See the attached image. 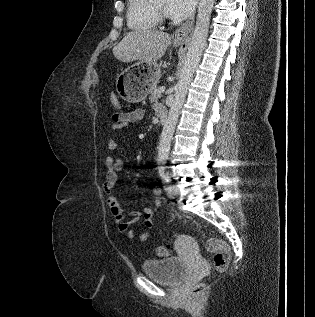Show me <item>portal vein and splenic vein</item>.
I'll return each instance as SVG.
<instances>
[{
	"label": "portal vein and splenic vein",
	"instance_id": "18ae733b",
	"mask_svg": "<svg viewBox=\"0 0 315 317\" xmlns=\"http://www.w3.org/2000/svg\"><path fill=\"white\" fill-rule=\"evenodd\" d=\"M165 91V88L164 87H161L160 89H159V92L160 93H163Z\"/></svg>",
	"mask_w": 315,
	"mask_h": 317
}]
</instances>
